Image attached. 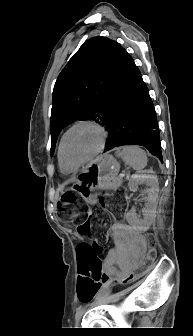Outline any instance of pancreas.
<instances>
[{
	"label": "pancreas",
	"mask_w": 193,
	"mask_h": 336,
	"mask_svg": "<svg viewBox=\"0 0 193 336\" xmlns=\"http://www.w3.org/2000/svg\"><path fill=\"white\" fill-rule=\"evenodd\" d=\"M123 180L121 177H116L110 183V186L107 187V193L112 195L114 191L122 184Z\"/></svg>",
	"instance_id": "obj_1"
}]
</instances>
